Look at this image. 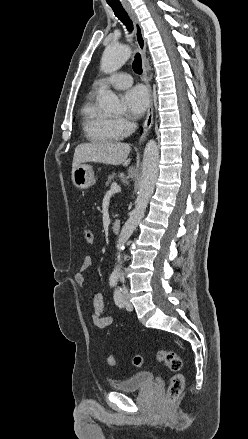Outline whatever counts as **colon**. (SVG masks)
<instances>
[{
    "mask_svg": "<svg viewBox=\"0 0 248 439\" xmlns=\"http://www.w3.org/2000/svg\"><path fill=\"white\" fill-rule=\"evenodd\" d=\"M83 237L86 243L93 244L94 235L91 230L84 229ZM153 359L159 362H163L171 371L174 372V375L171 378L167 390V399L169 402L177 401L181 396L184 388V376L180 373V370L182 368L181 358L172 351H158L153 355ZM145 360L146 357L142 355H136L133 358V365L136 367H140L144 364ZM106 361L109 366L117 365V360L113 355H108Z\"/></svg>",
    "mask_w": 248,
    "mask_h": 439,
    "instance_id": "5ec220e1",
    "label": "colon"
}]
</instances>
